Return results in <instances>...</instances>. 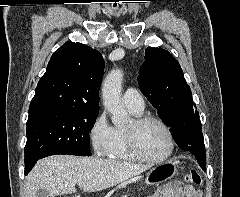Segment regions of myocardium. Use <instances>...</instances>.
Segmentation results:
<instances>
[{
  "instance_id": "1",
  "label": "myocardium",
  "mask_w": 240,
  "mask_h": 197,
  "mask_svg": "<svg viewBox=\"0 0 240 197\" xmlns=\"http://www.w3.org/2000/svg\"><path fill=\"white\" fill-rule=\"evenodd\" d=\"M149 122H156L160 124L168 136L169 140L168 152L160 158L149 157L143 152L139 144L140 129ZM125 134L129 150L137 159L141 161L151 164H160L170 159L175 151L176 143L171 127L158 116L146 114L135 117L132 121L131 126L125 129Z\"/></svg>"
}]
</instances>
